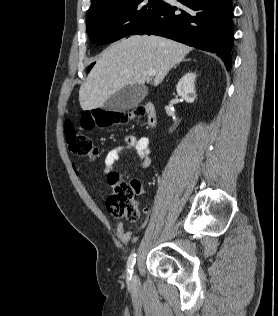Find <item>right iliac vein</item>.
<instances>
[{"label":"right iliac vein","instance_id":"right-iliac-vein-1","mask_svg":"<svg viewBox=\"0 0 278 316\" xmlns=\"http://www.w3.org/2000/svg\"><path fill=\"white\" fill-rule=\"evenodd\" d=\"M131 283L133 286H136L138 283V279H137V276L135 274L131 277Z\"/></svg>","mask_w":278,"mask_h":316}]
</instances>
